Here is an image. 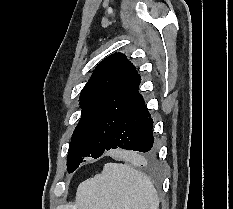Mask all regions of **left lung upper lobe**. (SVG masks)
<instances>
[{
    "label": "left lung upper lobe",
    "instance_id": "5c2ea615",
    "mask_svg": "<svg viewBox=\"0 0 233 209\" xmlns=\"http://www.w3.org/2000/svg\"><path fill=\"white\" fill-rule=\"evenodd\" d=\"M141 78L121 53L105 58L96 67L80 95L81 119L69 147L67 170L73 172L85 157H100L112 131L131 107Z\"/></svg>",
    "mask_w": 233,
    "mask_h": 209
}]
</instances>
